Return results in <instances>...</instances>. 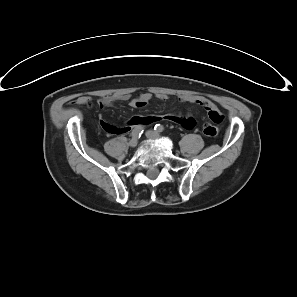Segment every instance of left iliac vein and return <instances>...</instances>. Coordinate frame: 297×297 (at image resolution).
<instances>
[{
  "label": "left iliac vein",
  "mask_w": 297,
  "mask_h": 297,
  "mask_svg": "<svg viewBox=\"0 0 297 297\" xmlns=\"http://www.w3.org/2000/svg\"><path fill=\"white\" fill-rule=\"evenodd\" d=\"M146 136L148 138H157L159 137V134L155 131H147Z\"/></svg>",
  "instance_id": "left-iliac-vein-1"
}]
</instances>
